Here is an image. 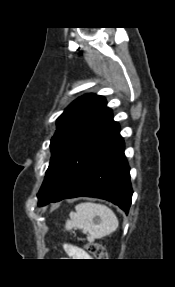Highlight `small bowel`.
<instances>
[{
    "instance_id": "c3829d8e",
    "label": "small bowel",
    "mask_w": 175,
    "mask_h": 287,
    "mask_svg": "<svg viewBox=\"0 0 175 287\" xmlns=\"http://www.w3.org/2000/svg\"><path fill=\"white\" fill-rule=\"evenodd\" d=\"M63 248L71 256H76V257L85 256L84 252H82L81 250H79L78 248H76L70 244L64 243Z\"/></svg>"
}]
</instances>
